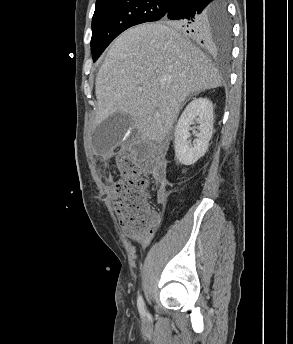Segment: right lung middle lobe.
I'll list each match as a JSON object with an SVG mask.
<instances>
[{
    "instance_id": "dd1d6c3e",
    "label": "right lung middle lobe",
    "mask_w": 293,
    "mask_h": 344,
    "mask_svg": "<svg viewBox=\"0 0 293 344\" xmlns=\"http://www.w3.org/2000/svg\"><path fill=\"white\" fill-rule=\"evenodd\" d=\"M171 0H106L96 4L92 19L91 52L95 62L106 47L126 29L145 22L165 20ZM208 20L210 45L229 50L231 26L224 0H218ZM181 28L179 22L171 23Z\"/></svg>"
}]
</instances>
